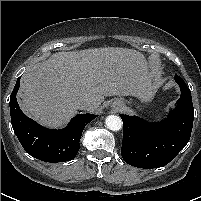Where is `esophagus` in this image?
<instances>
[{
    "instance_id": "obj_1",
    "label": "esophagus",
    "mask_w": 201,
    "mask_h": 201,
    "mask_svg": "<svg viewBox=\"0 0 201 201\" xmlns=\"http://www.w3.org/2000/svg\"><path fill=\"white\" fill-rule=\"evenodd\" d=\"M122 106H123V103L120 100H116L113 103V108L116 109L117 111L120 110L122 108Z\"/></svg>"
}]
</instances>
